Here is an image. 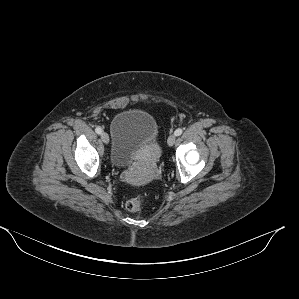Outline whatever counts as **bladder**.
<instances>
[{
    "instance_id": "1",
    "label": "bladder",
    "mask_w": 299,
    "mask_h": 299,
    "mask_svg": "<svg viewBox=\"0 0 299 299\" xmlns=\"http://www.w3.org/2000/svg\"><path fill=\"white\" fill-rule=\"evenodd\" d=\"M158 132L157 121L146 111L130 109L117 114L111 123L112 165H132L140 150L157 145Z\"/></svg>"
}]
</instances>
